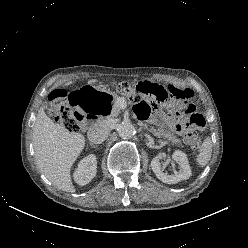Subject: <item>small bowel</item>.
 <instances>
[{"instance_id":"small-bowel-1","label":"small bowel","mask_w":248,"mask_h":248,"mask_svg":"<svg viewBox=\"0 0 248 248\" xmlns=\"http://www.w3.org/2000/svg\"><path fill=\"white\" fill-rule=\"evenodd\" d=\"M135 114L140 120L151 119L155 124L161 126L168 125L171 129L181 134L189 141L190 128L183 122L182 116L175 113H161L148 102L137 104L135 106Z\"/></svg>"}]
</instances>
